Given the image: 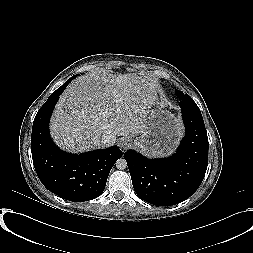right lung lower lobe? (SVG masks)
<instances>
[{
    "label": "right lung lower lobe",
    "instance_id": "1",
    "mask_svg": "<svg viewBox=\"0 0 253 253\" xmlns=\"http://www.w3.org/2000/svg\"><path fill=\"white\" fill-rule=\"evenodd\" d=\"M74 75L54 91L38 111L32 127L31 152L42 184L54 194L74 202L97 198L122 151L113 146L83 154L60 150L50 138L49 119L59 96Z\"/></svg>",
    "mask_w": 253,
    "mask_h": 253
}]
</instances>
